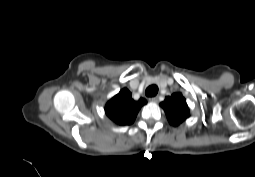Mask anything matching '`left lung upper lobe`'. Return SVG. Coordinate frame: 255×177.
Returning <instances> with one entry per match:
<instances>
[{"instance_id": "left-lung-upper-lobe-1", "label": "left lung upper lobe", "mask_w": 255, "mask_h": 177, "mask_svg": "<svg viewBox=\"0 0 255 177\" xmlns=\"http://www.w3.org/2000/svg\"><path fill=\"white\" fill-rule=\"evenodd\" d=\"M160 106L164 109L169 123L178 126L190 116V110L181 93H174L165 98Z\"/></svg>"}]
</instances>
